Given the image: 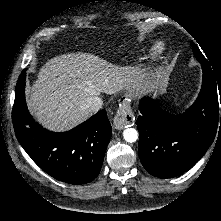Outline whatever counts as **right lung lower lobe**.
I'll return each instance as SVG.
<instances>
[{
	"instance_id": "98d812e1",
	"label": "right lung lower lobe",
	"mask_w": 221,
	"mask_h": 221,
	"mask_svg": "<svg viewBox=\"0 0 221 221\" xmlns=\"http://www.w3.org/2000/svg\"><path fill=\"white\" fill-rule=\"evenodd\" d=\"M26 69L15 89L13 125L18 141L32 160L59 181L85 184L94 180L102 167L112 134L105 110L74 129L54 133L36 123L25 102Z\"/></svg>"
}]
</instances>
